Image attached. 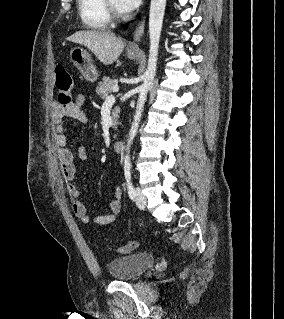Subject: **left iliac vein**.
Here are the masks:
<instances>
[{"instance_id":"4c4485c4","label":"left iliac vein","mask_w":284,"mask_h":319,"mask_svg":"<svg viewBox=\"0 0 284 319\" xmlns=\"http://www.w3.org/2000/svg\"><path fill=\"white\" fill-rule=\"evenodd\" d=\"M135 203L142 210L146 207V197L139 188L135 189Z\"/></svg>"}]
</instances>
